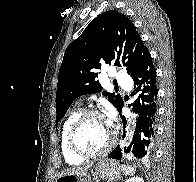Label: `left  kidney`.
<instances>
[{"mask_svg": "<svg viewBox=\"0 0 196 182\" xmlns=\"http://www.w3.org/2000/svg\"><path fill=\"white\" fill-rule=\"evenodd\" d=\"M125 182H144V181L140 177H132V178L126 180Z\"/></svg>", "mask_w": 196, "mask_h": 182, "instance_id": "5707ae66", "label": "left kidney"}]
</instances>
